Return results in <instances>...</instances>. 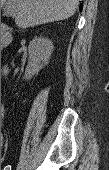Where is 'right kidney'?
<instances>
[{"label":"right kidney","mask_w":109,"mask_h":170,"mask_svg":"<svg viewBox=\"0 0 109 170\" xmlns=\"http://www.w3.org/2000/svg\"><path fill=\"white\" fill-rule=\"evenodd\" d=\"M29 59L25 71V77L31 78L37 74L48 61L53 52V43L45 37H36L29 43Z\"/></svg>","instance_id":"1"}]
</instances>
